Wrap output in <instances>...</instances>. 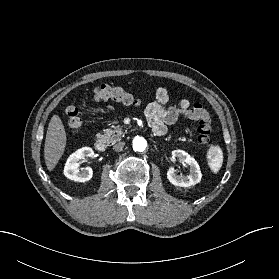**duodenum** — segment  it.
I'll use <instances>...</instances> for the list:
<instances>
[{"mask_svg":"<svg viewBox=\"0 0 279 279\" xmlns=\"http://www.w3.org/2000/svg\"><path fill=\"white\" fill-rule=\"evenodd\" d=\"M94 148L96 151L98 152H103L105 151L106 149V143L104 140L102 139H97L95 142H94Z\"/></svg>","mask_w":279,"mask_h":279,"instance_id":"410a0bca","label":"duodenum"}]
</instances>
